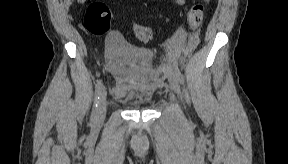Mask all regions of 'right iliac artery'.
Here are the masks:
<instances>
[{"mask_svg":"<svg viewBox=\"0 0 288 164\" xmlns=\"http://www.w3.org/2000/svg\"><path fill=\"white\" fill-rule=\"evenodd\" d=\"M102 89H103V85H102L101 81L99 80V81H97L96 89H95L94 108L92 111V119H96L97 106H98L100 95L102 93Z\"/></svg>","mask_w":288,"mask_h":164,"instance_id":"82829eb1","label":"right iliac artery"}]
</instances>
